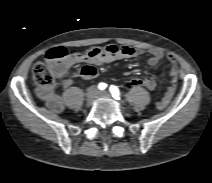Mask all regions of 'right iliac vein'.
Listing matches in <instances>:
<instances>
[{
  "label": "right iliac vein",
  "mask_w": 212,
  "mask_h": 183,
  "mask_svg": "<svg viewBox=\"0 0 212 183\" xmlns=\"http://www.w3.org/2000/svg\"><path fill=\"white\" fill-rule=\"evenodd\" d=\"M97 97L98 91L96 89L89 90L86 96V104L91 105Z\"/></svg>",
  "instance_id": "63e3f726"
}]
</instances>
